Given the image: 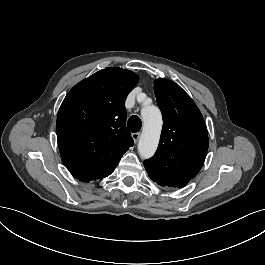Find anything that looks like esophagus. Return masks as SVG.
I'll use <instances>...</instances> for the list:
<instances>
[{
    "instance_id": "esophagus-1",
    "label": "esophagus",
    "mask_w": 265,
    "mask_h": 265,
    "mask_svg": "<svg viewBox=\"0 0 265 265\" xmlns=\"http://www.w3.org/2000/svg\"><path fill=\"white\" fill-rule=\"evenodd\" d=\"M132 137H133L135 143H137V141L139 140V137H140V133L139 132L133 133Z\"/></svg>"
}]
</instances>
